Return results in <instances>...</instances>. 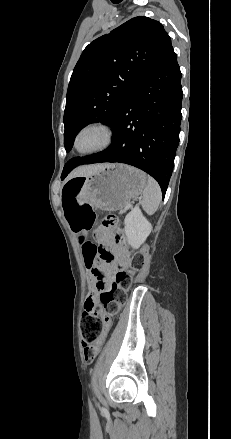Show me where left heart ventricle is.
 Segmentation results:
<instances>
[{"instance_id": "b2bd125f", "label": "left heart ventricle", "mask_w": 231, "mask_h": 439, "mask_svg": "<svg viewBox=\"0 0 231 439\" xmlns=\"http://www.w3.org/2000/svg\"><path fill=\"white\" fill-rule=\"evenodd\" d=\"M100 142V135L96 132H87L80 138L79 145L81 148L88 149L95 147Z\"/></svg>"}]
</instances>
